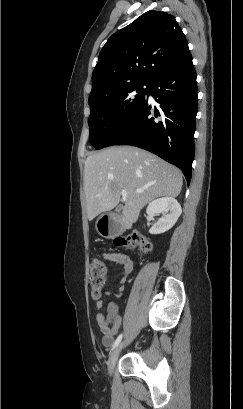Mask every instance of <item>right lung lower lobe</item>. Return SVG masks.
I'll return each mask as SVG.
<instances>
[{
    "instance_id": "1",
    "label": "right lung lower lobe",
    "mask_w": 243,
    "mask_h": 409,
    "mask_svg": "<svg viewBox=\"0 0 243 409\" xmlns=\"http://www.w3.org/2000/svg\"><path fill=\"white\" fill-rule=\"evenodd\" d=\"M145 100L108 143L132 145L150 151L179 167L190 183L195 145L197 83L192 56L187 48L151 84Z\"/></svg>"
}]
</instances>
